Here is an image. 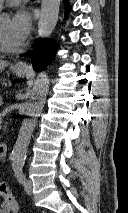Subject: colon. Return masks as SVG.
<instances>
[{
    "label": "colon",
    "instance_id": "5ec220e1",
    "mask_svg": "<svg viewBox=\"0 0 128 213\" xmlns=\"http://www.w3.org/2000/svg\"><path fill=\"white\" fill-rule=\"evenodd\" d=\"M0 196L3 198V202L10 210V213H19V205L11 192L10 188L5 183H0Z\"/></svg>",
    "mask_w": 128,
    "mask_h": 213
}]
</instances>
